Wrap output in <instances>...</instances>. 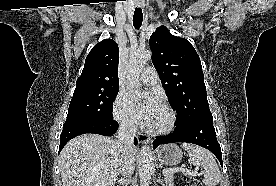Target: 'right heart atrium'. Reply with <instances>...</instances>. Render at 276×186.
<instances>
[{
	"instance_id": "1",
	"label": "right heart atrium",
	"mask_w": 276,
	"mask_h": 186,
	"mask_svg": "<svg viewBox=\"0 0 276 186\" xmlns=\"http://www.w3.org/2000/svg\"><path fill=\"white\" fill-rule=\"evenodd\" d=\"M113 117L119 125L126 130H134L135 121L128 109V98L123 92H120L113 103Z\"/></svg>"
}]
</instances>
